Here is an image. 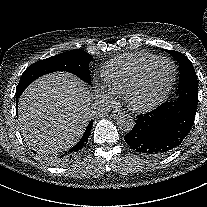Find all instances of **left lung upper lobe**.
<instances>
[{"mask_svg":"<svg viewBox=\"0 0 207 207\" xmlns=\"http://www.w3.org/2000/svg\"><path fill=\"white\" fill-rule=\"evenodd\" d=\"M166 51L177 60L180 67L179 85L177 89L178 98L174 101H179L197 107L198 80L192 63L180 52Z\"/></svg>","mask_w":207,"mask_h":207,"instance_id":"1","label":"left lung upper lobe"}]
</instances>
